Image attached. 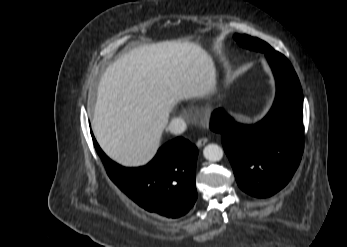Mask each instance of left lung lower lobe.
<instances>
[{
	"mask_svg": "<svg viewBox=\"0 0 347 247\" xmlns=\"http://www.w3.org/2000/svg\"><path fill=\"white\" fill-rule=\"evenodd\" d=\"M266 58L276 80V97L268 114L254 125H243L217 109L210 125L222 136L239 187L259 198L277 193L290 181L304 148L299 79L281 53Z\"/></svg>",
	"mask_w": 347,
	"mask_h": 247,
	"instance_id": "obj_1",
	"label": "left lung lower lobe"
}]
</instances>
